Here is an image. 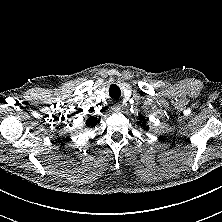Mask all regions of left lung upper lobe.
Instances as JSON below:
<instances>
[{"mask_svg": "<svg viewBox=\"0 0 222 222\" xmlns=\"http://www.w3.org/2000/svg\"><path fill=\"white\" fill-rule=\"evenodd\" d=\"M139 119H140V121L142 122L141 127H142L143 129L147 130L148 127H147L146 124H145V119H144V117H143V116H139Z\"/></svg>", "mask_w": 222, "mask_h": 222, "instance_id": "left-lung-upper-lobe-1", "label": "left lung upper lobe"}]
</instances>
